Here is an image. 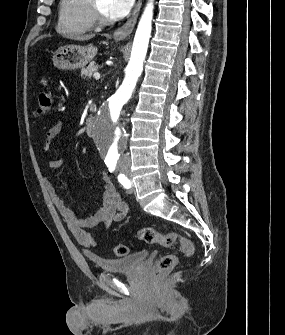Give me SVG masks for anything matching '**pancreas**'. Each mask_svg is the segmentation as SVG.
Here are the masks:
<instances>
[{"label":"pancreas","instance_id":"pancreas-1","mask_svg":"<svg viewBox=\"0 0 285 335\" xmlns=\"http://www.w3.org/2000/svg\"><path fill=\"white\" fill-rule=\"evenodd\" d=\"M98 66H95V64H90V66H87V68H83L81 70V76H84V78H91L92 73L91 72H97Z\"/></svg>","mask_w":285,"mask_h":335}]
</instances>
